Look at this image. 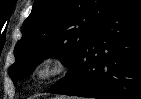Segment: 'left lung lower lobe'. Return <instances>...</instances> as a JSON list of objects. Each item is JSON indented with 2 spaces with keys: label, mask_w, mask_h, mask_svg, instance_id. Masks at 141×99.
Returning <instances> with one entry per match:
<instances>
[{
  "label": "left lung lower lobe",
  "mask_w": 141,
  "mask_h": 99,
  "mask_svg": "<svg viewBox=\"0 0 141 99\" xmlns=\"http://www.w3.org/2000/svg\"><path fill=\"white\" fill-rule=\"evenodd\" d=\"M50 93L141 99V0H118Z\"/></svg>",
  "instance_id": "left-lung-lower-lobe-1"
}]
</instances>
